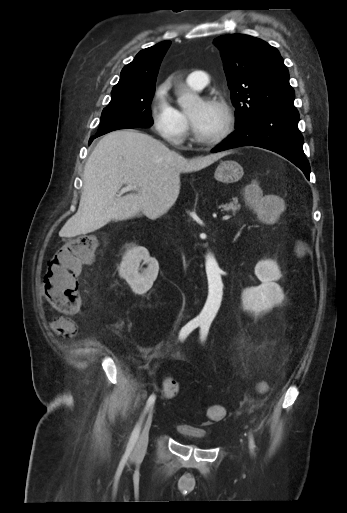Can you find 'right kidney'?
Here are the masks:
<instances>
[{"mask_svg":"<svg viewBox=\"0 0 347 513\" xmlns=\"http://www.w3.org/2000/svg\"><path fill=\"white\" fill-rule=\"evenodd\" d=\"M142 261L148 267L139 273ZM118 269L120 277L126 280L132 291L141 295L152 287L158 275L159 264L155 258L150 257L146 248L136 246L125 253Z\"/></svg>","mask_w":347,"mask_h":513,"instance_id":"ca27d5eb","label":"right kidney"}]
</instances>
